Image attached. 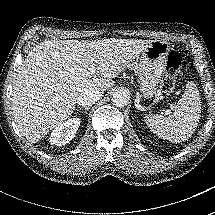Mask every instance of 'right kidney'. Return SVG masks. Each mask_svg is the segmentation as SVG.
Wrapping results in <instances>:
<instances>
[{
    "label": "right kidney",
    "instance_id": "ca27d5eb",
    "mask_svg": "<svg viewBox=\"0 0 215 215\" xmlns=\"http://www.w3.org/2000/svg\"><path fill=\"white\" fill-rule=\"evenodd\" d=\"M79 118H71L59 123L51 132L49 142L51 145L64 146L74 137L80 126Z\"/></svg>",
    "mask_w": 215,
    "mask_h": 215
}]
</instances>
